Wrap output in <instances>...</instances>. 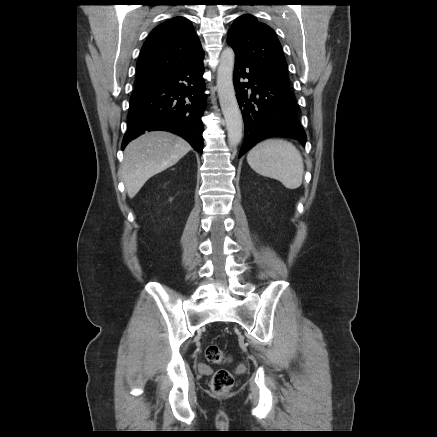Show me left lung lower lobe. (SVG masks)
<instances>
[{
    "label": "left lung lower lobe",
    "mask_w": 437,
    "mask_h": 437,
    "mask_svg": "<svg viewBox=\"0 0 437 437\" xmlns=\"http://www.w3.org/2000/svg\"><path fill=\"white\" fill-rule=\"evenodd\" d=\"M233 82L245 129L239 158L269 137L289 136L305 144L306 134L298 120L297 103L289 88L273 81L238 56L235 58Z\"/></svg>",
    "instance_id": "1"
}]
</instances>
